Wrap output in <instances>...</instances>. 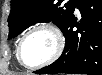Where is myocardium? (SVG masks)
<instances>
[{"label": "myocardium", "mask_w": 102, "mask_h": 75, "mask_svg": "<svg viewBox=\"0 0 102 75\" xmlns=\"http://www.w3.org/2000/svg\"><path fill=\"white\" fill-rule=\"evenodd\" d=\"M40 29H45V30H49L50 32H52V34L54 35L55 39H56V50L53 53V55L51 57H49L47 60L43 61L42 63L35 65V66H31L27 63H25V61L23 60V55H22V47H23V43L26 40V38L33 33L36 30H40ZM65 47V38L63 33L61 32V30L54 24L51 23H39L34 25L33 27H31L28 31H26L22 37L19 40L18 46H17V57L19 59V61L30 68H38V67H42L48 64L53 63L55 60H57L60 55L62 54L63 50Z\"/></svg>", "instance_id": "obj_1"}]
</instances>
